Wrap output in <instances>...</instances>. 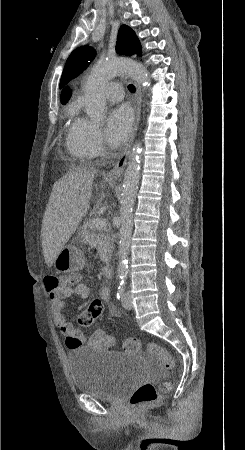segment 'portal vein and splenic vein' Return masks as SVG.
Masks as SVG:
<instances>
[{
	"label": "portal vein and splenic vein",
	"mask_w": 245,
	"mask_h": 450,
	"mask_svg": "<svg viewBox=\"0 0 245 450\" xmlns=\"http://www.w3.org/2000/svg\"><path fill=\"white\" fill-rule=\"evenodd\" d=\"M93 226L97 230H101L107 226L106 220L103 218H96L93 220Z\"/></svg>",
	"instance_id": "1"
}]
</instances>
